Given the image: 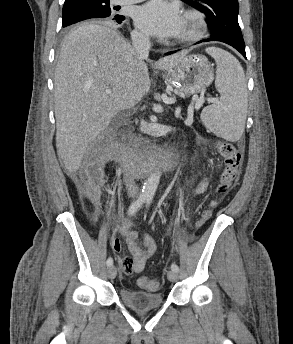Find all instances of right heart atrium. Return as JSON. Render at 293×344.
<instances>
[{
  "mask_svg": "<svg viewBox=\"0 0 293 344\" xmlns=\"http://www.w3.org/2000/svg\"><path fill=\"white\" fill-rule=\"evenodd\" d=\"M133 36H134V38H135L136 40H139V41L147 40V37H146L143 33H141V32L135 31V32L133 33Z\"/></svg>",
  "mask_w": 293,
  "mask_h": 344,
  "instance_id": "1",
  "label": "right heart atrium"
}]
</instances>
